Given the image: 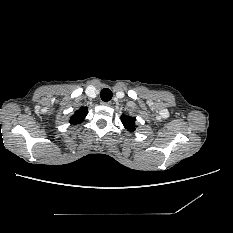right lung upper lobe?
Returning a JSON list of instances; mask_svg holds the SVG:
<instances>
[{
	"mask_svg": "<svg viewBox=\"0 0 233 233\" xmlns=\"http://www.w3.org/2000/svg\"><path fill=\"white\" fill-rule=\"evenodd\" d=\"M88 113V109L86 107H81L78 111L75 112L70 119L71 124H79L81 123Z\"/></svg>",
	"mask_w": 233,
	"mask_h": 233,
	"instance_id": "obj_1",
	"label": "right lung upper lobe"
}]
</instances>
